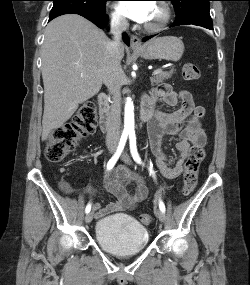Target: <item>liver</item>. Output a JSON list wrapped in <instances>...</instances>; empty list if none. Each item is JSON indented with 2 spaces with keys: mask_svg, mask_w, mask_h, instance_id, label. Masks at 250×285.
I'll use <instances>...</instances> for the list:
<instances>
[{
  "mask_svg": "<svg viewBox=\"0 0 250 285\" xmlns=\"http://www.w3.org/2000/svg\"><path fill=\"white\" fill-rule=\"evenodd\" d=\"M109 42L103 31L76 14L49 23L42 46V140L69 120L79 104L100 91ZM120 52L123 57V45Z\"/></svg>",
  "mask_w": 250,
  "mask_h": 285,
  "instance_id": "1",
  "label": "liver"
}]
</instances>
